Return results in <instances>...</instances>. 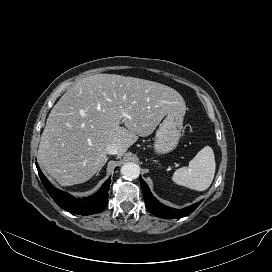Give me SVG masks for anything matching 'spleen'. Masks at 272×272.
Returning <instances> with one entry per match:
<instances>
[{
    "label": "spleen",
    "instance_id": "3e777b00",
    "mask_svg": "<svg viewBox=\"0 0 272 272\" xmlns=\"http://www.w3.org/2000/svg\"><path fill=\"white\" fill-rule=\"evenodd\" d=\"M215 168L213 150L205 146L189 162L188 167H181L174 172L172 180L178 185L204 191L209 188L214 179Z\"/></svg>",
    "mask_w": 272,
    "mask_h": 272
}]
</instances>
